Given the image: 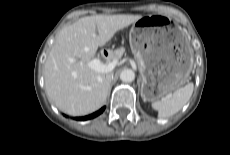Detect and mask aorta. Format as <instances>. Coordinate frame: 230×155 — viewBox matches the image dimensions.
<instances>
[{"instance_id": "762f6f07", "label": "aorta", "mask_w": 230, "mask_h": 155, "mask_svg": "<svg viewBox=\"0 0 230 155\" xmlns=\"http://www.w3.org/2000/svg\"><path fill=\"white\" fill-rule=\"evenodd\" d=\"M120 79L123 82H132L135 79V73L132 69H124L120 73Z\"/></svg>"}]
</instances>
